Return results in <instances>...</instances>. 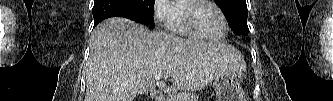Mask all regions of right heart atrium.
<instances>
[{"label":"right heart atrium","instance_id":"1","mask_svg":"<svg viewBox=\"0 0 333 101\" xmlns=\"http://www.w3.org/2000/svg\"><path fill=\"white\" fill-rule=\"evenodd\" d=\"M152 13L157 25L161 27H170L174 14V6L171 1L156 0L153 4Z\"/></svg>","mask_w":333,"mask_h":101}]
</instances>
